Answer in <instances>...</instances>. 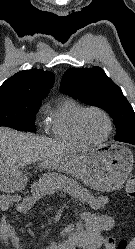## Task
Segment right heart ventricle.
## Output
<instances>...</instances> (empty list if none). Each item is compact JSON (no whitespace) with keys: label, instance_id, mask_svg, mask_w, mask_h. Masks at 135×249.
I'll use <instances>...</instances> for the list:
<instances>
[{"label":"right heart ventricle","instance_id":"obj_1","mask_svg":"<svg viewBox=\"0 0 135 249\" xmlns=\"http://www.w3.org/2000/svg\"><path fill=\"white\" fill-rule=\"evenodd\" d=\"M84 107L74 99H64L49 109L46 130L59 142L83 145L86 141L76 128V118Z\"/></svg>","mask_w":135,"mask_h":249}]
</instances>
